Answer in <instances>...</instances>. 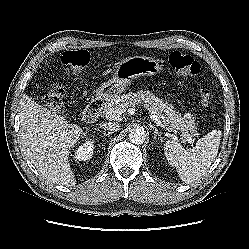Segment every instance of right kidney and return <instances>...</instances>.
<instances>
[{"label": "right kidney", "instance_id": "ca27d5eb", "mask_svg": "<svg viewBox=\"0 0 249 249\" xmlns=\"http://www.w3.org/2000/svg\"><path fill=\"white\" fill-rule=\"evenodd\" d=\"M94 151V140L93 139H86L80 146H78L77 150L75 151L73 158L76 161H86L89 160Z\"/></svg>", "mask_w": 249, "mask_h": 249}]
</instances>
